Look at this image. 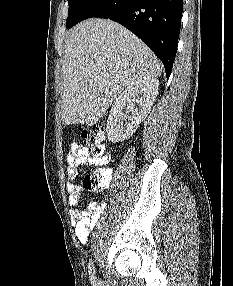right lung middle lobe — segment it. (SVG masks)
Masks as SVG:
<instances>
[{"instance_id":"obj_1","label":"right lung middle lobe","mask_w":233,"mask_h":286,"mask_svg":"<svg viewBox=\"0 0 233 286\" xmlns=\"http://www.w3.org/2000/svg\"><path fill=\"white\" fill-rule=\"evenodd\" d=\"M92 0H68L69 14L66 21V27L69 29L73 26L79 15Z\"/></svg>"}]
</instances>
